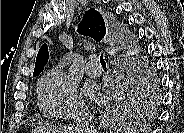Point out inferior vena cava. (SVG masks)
<instances>
[{"label": "inferior vena cava", "instance_id": "1", "mask_svg": "<svg viewBox=\"0 0 184 133\" xmlns=\"http://www.w3.org/2000/svg\"><path fill=\"white\" fill-rule=\"evenodd\" d=\"M75 118L77 121L76 129L78 133H95L90 124L91 117L87 109L84 107L79 108L76 111Z\"/></svg>", "mask_w": 184, "mask_h": 133}]
</instances>
